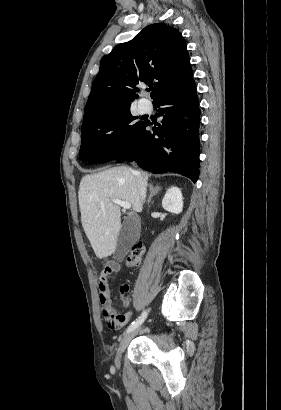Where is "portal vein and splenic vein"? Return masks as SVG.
<instances>
[{
  "mask_svg": "<svg viewBox=\"0 0 281 410\" xmlns=\"http://www.w3.org/2000/svg\"><path fill=\"white\" fill-rule=\"evenodd\" d=\"M112 201H113L115 204H117V205L123 207L124 209H130V208H131V204H130L129 202H125V201H122V200H119V199H112ZM100 204H101V206H103V205H104V201H101Z\"/></svg>",
  "mask_w": 281,
  "mask_h": 410,
  "instance_id": "18ae733b",
  "label": "portal vein and splenic vein"
}]
</instances>
